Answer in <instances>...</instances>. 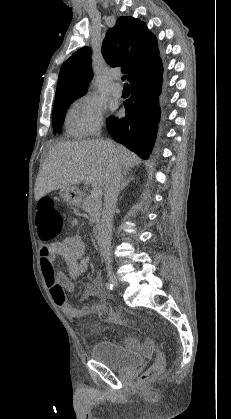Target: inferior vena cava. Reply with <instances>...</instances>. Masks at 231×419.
Returning <instances> with one entry per match:
<instances>
[{"instance_id": "inferior-vena-cava-1", "label": "inferior vena cava", "mask_w": 231, "mask_h": 419, "mask_svg": "<svg viewBox=\"0 0 231 419\" xmlns=\"http://www.w3.org/2000/svg\"><path fill=\"white\" fill-rule=\"evenodd\" d=\"M100 132L97 133V136ZM121 166L114 160L110 161L104 187V207L98 234L101 255L107 264L111 263L112 223L121 184Z\"/></svg>"}]
</instances>
